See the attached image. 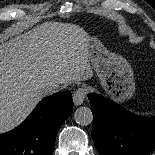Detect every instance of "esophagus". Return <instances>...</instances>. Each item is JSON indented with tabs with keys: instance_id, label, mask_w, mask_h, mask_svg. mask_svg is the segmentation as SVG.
<instances>
[{
	"instance_id": "esophagus-1",
	"label": "esophagus",
	"mask_w": 155,
	"mask_h": 155,
	"mask_svg": "<svg viewBox=\"0 0 155 155\" xmlns=\"http://www.w3.org/2000/svg\"><path fill=\"white\" fill-rule=\"evenodd\" d=\"M87 94V90L83 87L78 88L73 94V102L75 106H79L83 103L84 98Z\"/></svg>"
}]
</instances>
